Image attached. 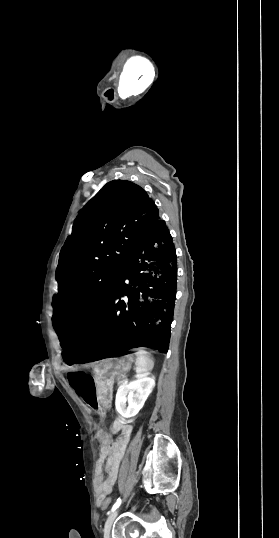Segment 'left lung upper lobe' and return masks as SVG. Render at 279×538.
Returning a JSON list of instances; mask_svg holds the SVG:
<instances>
[{"instance_id":"5c2ea615","label":"left lung upper lobe","mask_w":279,"mask_h":538,"mask_svg":"<svg viewBox=\"0 0 279 538\" xmlns=\"http://www.w3.org/2000/svg\"><path fill=\"white\" fill-rule=\"evenodd\" d=\"M157 218L159 210L147 193L122 180L107 183L81 210L57 267L59 292L52 306L58 336L92 327Z\"/></svg>"}]
</instances>
